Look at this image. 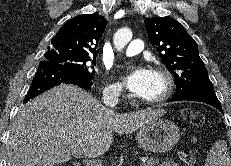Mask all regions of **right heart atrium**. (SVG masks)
<instances>
[{
	"instance_id": "d8ad5b80",
	"label": "right heart atrium",
	"mask_w": 231,
	"mask_h": 166,
	"mask_svg": "<svg viewBox=\"0 0 231 166\" xmlns=\"http://www.w3.org/2000/svg\"><path fill=\"white\" fill-rule=\"evenodd\" d=\"M122 94V88L119 83L109 81L107 82L104 95L109 99H118Z\"/></svg>"
}]
</instances>
